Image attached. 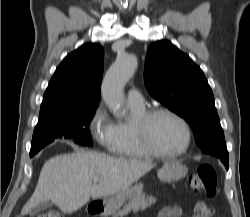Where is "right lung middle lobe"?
<instances>
[{
    "label": "right lung middle lobe",
    "instance_id": "1",
    "mask_svg": "<svg viewBox=\"0 0 250 217\" xmlns=\"http://www.w3.org/2000/svg\"><path fill=\"white\" fill-rule=\"evenodd\" d=\"M96 108H72L40 115L33 133L30 157L57 138H71L80 145L91 146L89 124Z\"/></svg>",
    "mask_w": 250,
    "mask_h": 217
}]
</instances>
